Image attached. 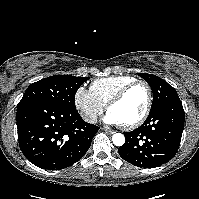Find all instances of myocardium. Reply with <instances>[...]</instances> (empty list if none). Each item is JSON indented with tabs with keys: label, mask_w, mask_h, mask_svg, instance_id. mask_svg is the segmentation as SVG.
<instances>
[{
	"label": "myocardium",
	"mask_w": 199,
	"mask_h": 199,
	"mask_svg": "<svg viewBox=\"0 0 199 199\" xmlns=\"http://www.w3.org/2000/svg\"><path fill=\"white\" fill-rule=\"evenodd\" d=\"M138 85H142L145 87L146 91H147V102H146V106L145 109L143 111V113L140 115V117H138L135 121L128 123V124H121V127L123 129L129 130V129H134L138 126H140L148 117L150 111H151V107H152V103H153V93H152V89L151 86L144 80H134L133 82L127 84L126 86H124L108 103L107 105V110L109 111L110 108L114 105H116L117 103H119L120 101L123 100V98L126 96V94L133 89L134 87L138 86Z\"/></svg>",
	"instance_id": "1"
}]
</instances>
